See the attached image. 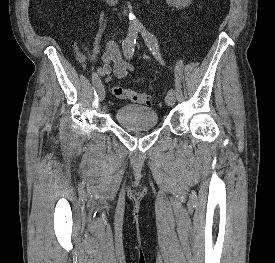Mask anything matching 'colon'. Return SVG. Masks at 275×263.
Instances as JSON below:
<instances>
[{
    "label": "colon",
    "mask_w": 275,
    "mask_h": 263,
    "mask_svg": "<svg viewBox=\"0 0 275 263\" xmlns=\"http://www.w3.org/2000/svg\"><path fill=\"white\" fill-rule=\"evenodd\" d=\"M114 95L122 100L131 101L138 104H151L155 97L151 93L139 92L123 86H115L113 89Z\"/></svg>",
    "instance_id": "5ec220e1"
}]
</instances>
